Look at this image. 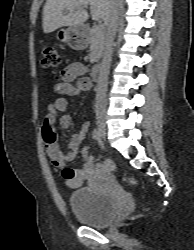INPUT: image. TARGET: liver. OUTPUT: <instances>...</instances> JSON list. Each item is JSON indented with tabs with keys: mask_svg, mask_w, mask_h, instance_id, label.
Masks as SVG:
<instances>
[{
	"mask_svg": "<svg viewBox=\"0 0 194 250\" xmlns=\"http://www.w3.org/2000/svg\"><path fill=\"white\" fill-rule=\"evenodd\" d=\"M111 3L112 0H47L43 8V31L51 33L64 26L82 25L89 17L84 9L87 5L91 6L93 20L106 22Z\"/></svg>",
	"mask_w": 194,
	"mask_h": 250,
	"instance_id": "liver-1",
	"label": "liver"
}]
</instances>
